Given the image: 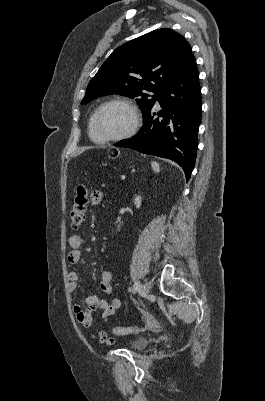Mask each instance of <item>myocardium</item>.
Listing matches in <instances>:
<instances>
[{"label":"myocardium","instance_id":"obj_1","mask_svg":"<svg viewBox=\"0 0 265 401\" xmlns=\"http://www.w3.org/2000/svg\"><path fill=\"white\" fill-rule=\"evenodd\" d=\"M117 104L124 105L130 110V112L132 114V120H131L130 125L121 134H119L117 136L110 137V138L103 139V140L97 139L94 136V132H93L94 123H95L97 117L99 116V114L106 107H108L110 105H117ZM140 120H141L140 111H139L137 105L133 101H131L129 99H113V100H109V101L104 102L102 105H100L97 108V110L94 112L92 117L90 118V121H89V136L96 143H108V142L119 141V140H122V139L132 135L136 131V129L138 128Z\"/></svg>","mask_w":265,"mask_h":401}]
</instances>
